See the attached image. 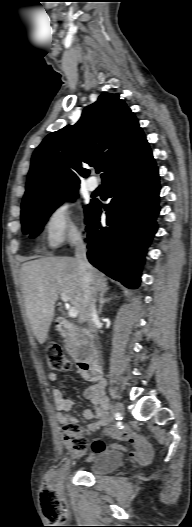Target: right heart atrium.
<instances>
[{"label": "right heart atrium", "instance_id": "right-heart-atrium-1", "mask_svg": "<svg viewBox=\"0 0 192 527\" xmlns=\"http://www.w3.org/2000/svg\"><path fill=\"white\" fill-rule=\"evenodd\" d=\"M81 228L74 206L67 200L54 204L44 221L46 244L57 249L81 236Z\"/></svg>", "mask_w": 192, "mask_h": 527}]
</instances>
